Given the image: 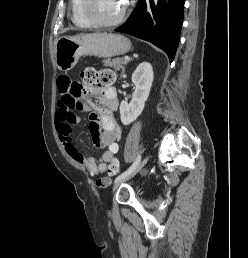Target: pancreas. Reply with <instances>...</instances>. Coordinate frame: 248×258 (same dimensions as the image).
I'll use <instances>...</instances> for the list:
<instances>
[{
    "mask_svg": "<svg viewBox=\"0 0 248 258\" xmlns=\"http://www.w3.org/2000/svg\"><path fill=\"white\" fill-rule=\"evenodd\" d=\"M104 66H110L113 67L116 71H119L120 69L124 68V65L127 64V61L122 58H116L113 60H103Z\"/></svg>",
    "mask_w": 248,
    "mask_h": 258,
    "instance_id": "obj_1",
    "label": "pancreas"
}]
</instances>
